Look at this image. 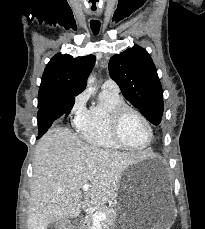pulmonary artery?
<instances>
[{"label":"pulmonary artery","mask_w":205,"mask_h":229,"mask_svg":"<svg viewBox=\"0 0 205 229\" xmlns=\"http://www.w3.org/2000/svg\"><path fill=\"white\" fill-rule=\"evenodd\" d=\"M103 89L110 90L115 93H119L118 85L112 80H106L102 86Z\"/></svg>","instance_id":"e3ab8cb5"}]
</instances>
